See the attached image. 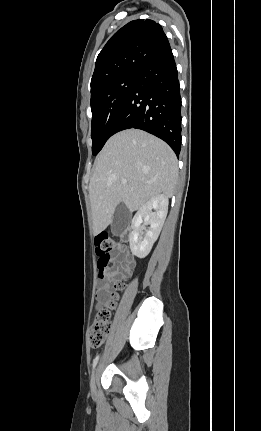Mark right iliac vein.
Segmentation results:
<instances>
[{"instance_id":"obj_1","label":"right iliac vein","mask_w":261,"mask_h":431,"mask_svg":"<svg viewBox=\"0 0 261 431\" xmlns=\"http://www.w3.org/2000/svg\"><path fill=\"white\" fill-rule=\"evenodd\" d=\"M91 391H92V393H95V391H96V371H94L92 378H91Z\"/></svg>"}]
</instances>
